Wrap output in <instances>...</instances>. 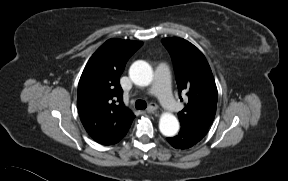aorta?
I'll return each instance as SVG.
<instances>
[{
	"instance_id": "762f6f07",
	"label": "aorta",
	"mask_w": 288,
	"mask_h": 181,
	"mask_svg": "<svg viewBox=\"0 0 288 181\" xmlns=\"http://www.w3.org/2000/svg\"><path fill=\"white\" fill-rule=\"evenodd\" d=\"M129 76L134 84L148 86L153 80V71L147 62L139 60L130 67ZM159 129L164 136L172 137L179 130V122L173 114L163 113L159 120Z\"/></svg>"
}]
</instances>
